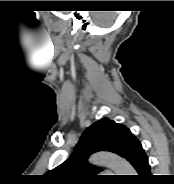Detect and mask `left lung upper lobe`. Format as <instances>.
<instances>
[{"label":"left lung upper lobe","instance_id":"obj_1","mask_svg":"<svg viewBox=\"0 0 174 184\" xmlns=\"http://www.w3.org/2000/svg\"><path fill=\"white\" fill-rule=\"evenodd\" d=\"M137 142L126 126L102 118L83 132L70 158L47 174L59 184L90 183L101 177L98 176L101 168L88 163L92 153L111 151L127 159Z\"/></svg>","mask_w":174,"mask_h":184}]
</instances>
